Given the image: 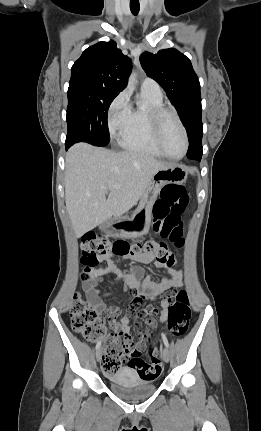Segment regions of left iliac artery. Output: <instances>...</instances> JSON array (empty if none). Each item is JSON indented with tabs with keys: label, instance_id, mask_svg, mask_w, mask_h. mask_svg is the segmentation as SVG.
<instances>
[{
	"label": "left iliac artery",
	"instance_id": "obj_1",
	"mask_svg": "<svg viewBox=\"0 0 261 431\" xmlns=\"http://www.w3.org/2000/svg\"><path fill=\"white\" fill-rule=\"evenodd\" d=\"M162 339H163V342H164L165 346H166V347H169L168 340H167V338H166V336H165V334H164V333H162Z\"/></svg>",
	"mask_w": 261,
	"mask_h": 431
}]
</instances>
